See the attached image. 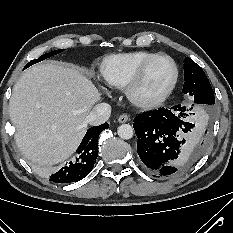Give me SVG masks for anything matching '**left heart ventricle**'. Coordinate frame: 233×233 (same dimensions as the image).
<instances>
[{
    "mask_svg": "<svg viewBox=\"0 0 233 233\" xmlns=\"http://www.w3.org/2000/svg\"><path fill=\"white\" fill-rule=\"evenodd\" d=\"M173 75V67L170 60L161 58L155 61L145 74L139 88L141 97H152L160 93Z\"/></svg>",
    "mask_w": 233,
    "mask_h": 233,
    "instance_id": "obj_1",
    "label": "left heart ventricle"
}]
</instances>
